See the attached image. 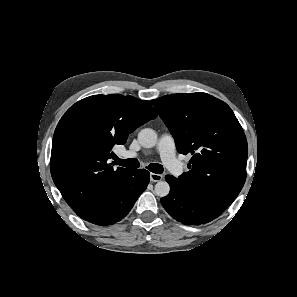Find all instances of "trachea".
I'll return each instance as SVG.
<instances>
[{
    "label": "trachea",
    "mask_w": 297,
    "mask_h": 297,
    "mask_svg": "<svg viewBox=\"0 0 297 297\" xmlns=\"http://www.w3.org/2000/svg\"><path fill=\"white\" fill-rule=\"evenodd\" d=\"M115 162L117 165L127 167V168H138L140 166L139 161L135 158L126 159V160L117 158ZM147 168L148 170L156 174H161L163 172V166L161 164L152 163L148 165Z\"/></svg>",
    "instance_id": "3493384b"
}]
</instances>
